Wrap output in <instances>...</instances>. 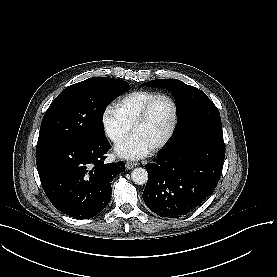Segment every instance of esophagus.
I'll return each instance as SVG.
<instances>
[{"label":"esophagus","instance_id":"esophagus-1","mask_svg":"<svg viewBox=\"0 0 277 277\" xmlns=\"http://www.w3.org/2000/svg\"><path fill=\"white\" fill-rule=\"evenodd\" d=\"M138 165H139V163H137V162H132V161L126 162V168L127 169H132V168H134V167H136Z\"/></svg>","mask_w":277,"mask_h":277}]
</instances>
